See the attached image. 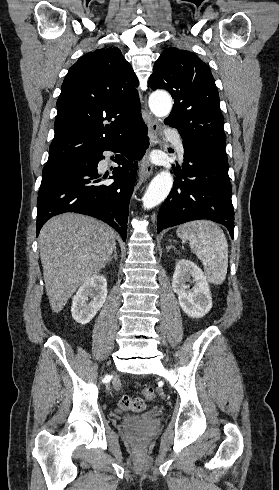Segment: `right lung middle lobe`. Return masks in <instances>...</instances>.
I'll list each match as a JSON object with an SVG mask.
<instances>
[{"label": "right lung middle lobe", "instance_id": "dd1d6c3e", "mask_svg": "<svg viewBox=\"0 0 279 490\" xmlns=\"http://www.w3.org/2000/svg\"><path fill=\"white\" fill-rule=\"evenodd\" d=\"M85 163L83 160L55 163V164H46L43 168V178L42 182L48 181L52 178L60 176L68 171H71L76 168L84 167Z\"/></svg>", "mask_w": 279, "mask_h": 490}]
</instances>
